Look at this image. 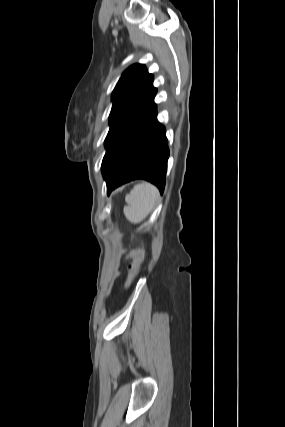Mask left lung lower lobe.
<instances>
[{
    "mask_svg": "<svg viewBox=\"0 0 285 427\" xmlns=\"http://www.w3.org/2000/svg\"><path fill=\"white\" fill-rule=\"evenodd\" d=\"M156 116L153 102L105 154L102 174L108 194L134 179H146L163 192L169 150L165 129Z\"/></svg>",
    "mask_w": 285,
    "mask_h": 427,
    "instance_id": "0a47b994",
    "label": "left lung lower lobe"
}]
</instances>
